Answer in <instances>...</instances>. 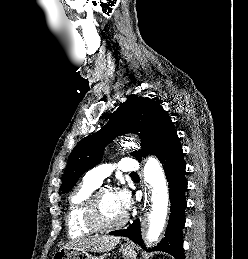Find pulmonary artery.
Returning <instances> with one entry per match:
<instances>
[{
	"instance_id": "e3ab8cb5",
	"label": "pulmonary artery",
	"mask_w": 248,
	"mask_h": 259,
	"mask_svg": "<svg viewBox=\"0 0 248 259\" xmlns=\"http://www.w3.org/2000/svg\"><path fill=\"white\" fill-rule=\"evenodd\" d=\"M115 168L124 173H137L140 167L136 160L123 158L117 165L103 164L92 168L86 173L85 179L99 186Z\"/></svg>"
}]
</instances>
